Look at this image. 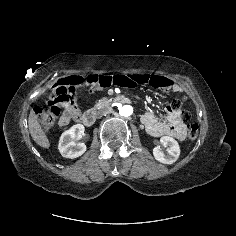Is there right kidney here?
Masks as SVG:
<instances>
[{
  "label": "right kidney",
  "mask_w": 236,
  "mask_h": 236,
  "mask_svg": "<svg viewBox=\"0 0 236 236\" xmlns=\"http://www.w3.org/2000/svg\"><path fill=\"white\" fill-rule=\"evenodd\" d=\"M84 126L76 124L62 133L58 149L63 157L74 159L81 156L86 151L84 143H76L74 140L84 134Z\"/></svg>",
  "instance_id": "right-kidney-1"
}]
</instances>
